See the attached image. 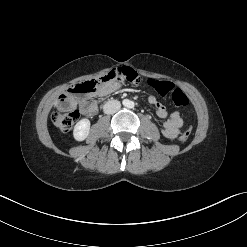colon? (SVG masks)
<instances>
[{
  "label": "colon",
  "instance_id": "1",
  "mask_svg": "<svg viewBox=\"0 0 247 247\" xmlns=\"http://www.w3.org/2000/svg\"><path fill=\"white\" fill-rule=\"evenodd\" d=\"M118 76L116 71H112L100 78L99 81H86L77 84L70 88L69 93L61 96L58 107L52 114V122L61 131H69L74 123L79 118V112L75 108L77 95H91L99 89V87ZM126 79L132 83L138 81L137 75L126 73ZM149 85L161 96L169 95L173 104L177 107H184L188 105L189 100L186 94L180 89L174 88L173 84L166 81L149 80ZM91 102L92 100H86ZM191 134V129L185 130L180 136L179 140L185 142Z\"/></svg>",
  "mask_w": 247,
  "mask_h": 247
}]
</instances>
